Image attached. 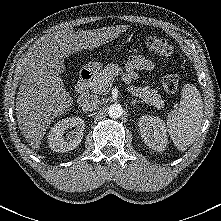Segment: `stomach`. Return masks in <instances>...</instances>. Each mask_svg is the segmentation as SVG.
Returning <instances> with one entry per match:
<instances>
[{
    "label": "stomach",
    "instance_id": "1",
    "mask_svg": "<svg viewBox=\"0 0 221 221\" xmlns=\"http://www.w3.org/2000/svg\"><path fill=\"white\" fill-rule=\"evenodd\" d=\"M121 45H118L116 47V50H120L121 49ZM102 68V63L100 62H89L87 65H86V69L92 73H96L98 72L100 69Z\"/></svg>",
    "mask_w": 221,
    "mask_h": 221
}]
</instances>
